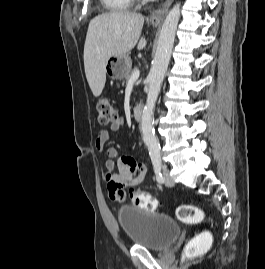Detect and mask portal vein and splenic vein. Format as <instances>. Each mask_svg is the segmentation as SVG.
<instances>
[{"label": "portal vein and splenic vein", "mask_w": 265, "mask_h": 269, "mask_svg": "<svg viewBox=\"0 0 265 269\" xmlns=\"http://www.w3.org/2000/svg\"><path fill=\"white\" fill-rule=\"evenodd\" d=\"M139 75H140V71L139 70H136L132 75H131V78L129 79L128 83L129 84H133L137 81V79L139 78Z\"/></svg>", "instance_id": "1"}]
</instances>
